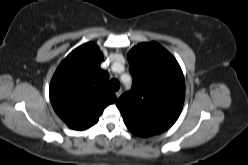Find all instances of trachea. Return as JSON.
Masks as SVG:
<instances>
[{
    "label": "trachea",
    "instance_id": "trachea-1",
    "mask_svg": "<svg viewBox=\"0 0 248 165\" xmlns=\"http://www.w3.org/2000/svg\"><path fill=\"white\" fill-rule=\"evenodd\" d=\"M109 88L112 90V91H118L119 88H120V83L117 79H111L110 82H109Z\"/></svg>",
    "mask_w": 248,
    "mask_h": 165
}]
</instances>
